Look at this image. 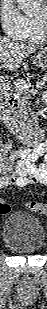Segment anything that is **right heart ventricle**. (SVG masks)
Wrapping results in <instances>:
<instances>
[{
    "mask_svg": "<svg viewBox=\"0 0 47 309\" xmlns=\"http://www.w3.org/2000/svg\"><path fill=\"white\" fill-rule=\"evenodd\" d=\"M20 40L30 44H41L45 41V36L37 24L36 18L26 17V31Z\"/></svg>",
    "mask_w": 47,
    "mask_h": 309,
    "instance_id": "right-heart-ventricle-1",
    "label": "right heart ventricle"
}]
</instances>
